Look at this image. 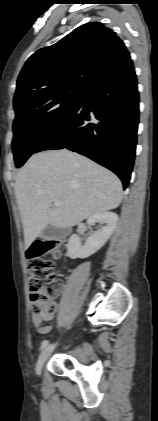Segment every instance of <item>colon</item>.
Wrapping results in <instances>:
<instances>
[{
  "instance_id": "1",
  "label": "colon",
  "mask_w": 158,
  "mask_h": 421,
  "mask_svg": "<svg viewBox=\"0 0 158 421\" xmlns=\"http://www.w3.org/2000/svg\"><path fill=\"white\" fill-rule=\"evenodd\" d=\"M61 255L59 241H38L26 252L32 311L39 318L51 316L56 310L61 281L55 274L54 260Z\"/></svg>"
}]
</instances>
